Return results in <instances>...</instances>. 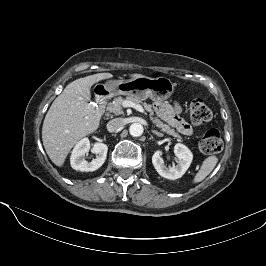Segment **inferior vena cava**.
I'll return each mask as SVG.
<instances>
[{
    "label": "inferior vena cava",
    "mask_w": 266,
    "mask_h": 266,
    "mask_svg": "<svg viewBox=\"0 0 266 266\" xmlns=\"http://www.w3.org/2000/svg\"><path fill=\"white\" fill-rule=\"evenodd\" d=\"M125 125L123 118H114L107 123V130L109 132L119 131Z\"/></svg>",
    "instance_id": "obj_1"
}]
</instances>
